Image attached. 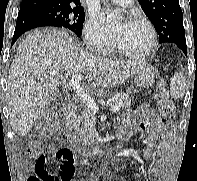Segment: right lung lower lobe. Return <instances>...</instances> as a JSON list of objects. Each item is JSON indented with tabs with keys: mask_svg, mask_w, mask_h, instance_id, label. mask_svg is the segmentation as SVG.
<instances>
[{
	"mask_svg": "<svg viewBox=\"0 0 197 181\" xmlns=\"http://www.w3.org/2000/svg\"><path fill=\"white\" fill-rule=\"evenodd\" d=\"M53 26L58 27V23L53 19L30 10L20 9L16 21V27L14 36L12 39V44L26 31L37 27Z\"/></svg>",
	"mask_w": 197,
	"mask_h": 181,
	"instance_id": "right-lung-lower-lobe-1",
	"label": "right lung lower lobe"
}]
</instances>
